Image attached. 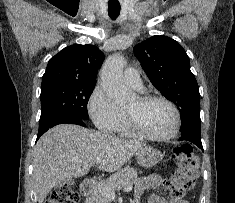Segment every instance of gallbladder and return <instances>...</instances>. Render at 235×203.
I'll return each mask as SVG.
<instances>
[{
    "mask_svg": "<svg viewBox=\"0 0 235 203\" xmlns=\"http://www.w3.org/2000/svg\"><path fill=\"white\" fill-rule=\"evenodd\" d=\"M71 183H73V180H60L59 184L60 185H69Z\"/></svg>",
    "mask_w": 235,
    "mask_h": 203,
    "instance_id": "gallbladder-1",
    "label": "gallbladder"
}]
</instances>
